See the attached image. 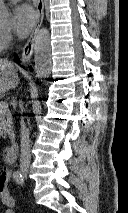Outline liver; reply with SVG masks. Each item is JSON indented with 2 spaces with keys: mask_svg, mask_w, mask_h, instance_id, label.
<instances>
[{
  "mask_svg": "<svg viewBox=\"0 0 128 213\" xmlns=\"http://www.w3.org/2000/svg\"><path fill=\"white\" fill-rule=\"evenodd\" d=\"M19 83L14 65L5 59H0V94L15 88Z\"/></svg>",
  "mask_w": 128,
  "mask_h": 213,
  "instance_id": "obj_1",
  "label": "liver"
}]
</instances>
